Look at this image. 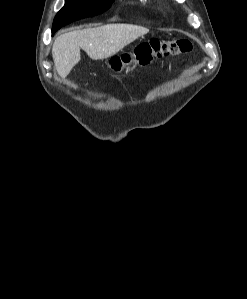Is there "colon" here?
Returning a JSON list of instances; mask_svg holds the SVG:
<instances>
[{
    "label": "colon",
    "mask_w": 247,
    "mask_h": 299,
    "mask_svg": "<svg viewBox=\"0 0 247 299\" xmlns=\"http://www.w3.org/2000/svg\"><path fill=\"white\" fill-rule=\"evenodd\" d=\"M192 49V42L185 38L168 41L151 39L141 43L133 51L112 57L108 65L112 71L121 72L135 66L148 65L156 59L187 53Z\"/></svg>",
    "instance_id": "5ec220e1"
}]
</instances>
